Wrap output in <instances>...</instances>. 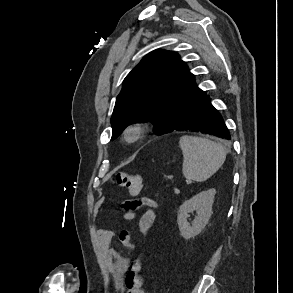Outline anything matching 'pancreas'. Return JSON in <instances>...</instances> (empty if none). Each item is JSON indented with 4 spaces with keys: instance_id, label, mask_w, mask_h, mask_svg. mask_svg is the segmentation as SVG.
Returning a JSON list of instances; mask_svg holds the SVG:
<instances>
[{
    "instance_id": "obj_1",
    "label": "pancreas",
    "mask_w": 293,
    "mask_h": 293,
    "mask_svg": "<svg viewBox=\"0 0 293 293\" xmlns=\"http://www.w3.org/2000/svg\"><path fill=\"white\" fill-rule=\"evenodd\" d=\"M174 192H175V194H178L179 193V190L178 189H175Z\"/></svg>"
}]
</instances>
